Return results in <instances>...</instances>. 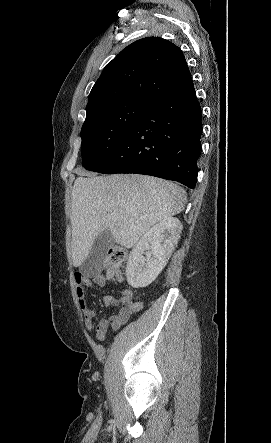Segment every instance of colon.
<instances>
[{"mask_svg":"<svg viewBox=\"0 0 271 443\" xmlns=\"http://www.w3.org/2000/svg\"><path fill=\"white\" fill-rule=\"evenodd\" d=\"M126 259V251L122 248H111L105 258V270L109 276H118Z\"/></svg>","mask_w":271,"mask_h":443,"instance_id":"1","label":"colon"}]
</instances>
